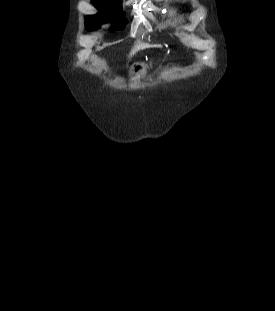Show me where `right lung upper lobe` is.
<instances>
[{"label":"right lung upper lobe","instance_id":"1","mask_svg":"<svg viewBox=\"0 0 275 311\" xmlns=\"http://www.w3.org/2000/svg\"><path fill=\"white\" fill-rule=\"evenodd\" d=\"M92 3L94 6L97 5H119L121 3V0H92Z\"/></svg>","mask_w":275,"mask_h":311}]
</instances>
